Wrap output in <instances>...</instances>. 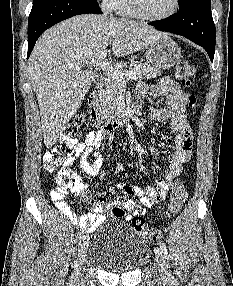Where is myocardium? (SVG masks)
Here are the masks:
<instances>
[{
    "label": "myocardium",
    "instance_id": "f54148a6",
    "mask_svg": "<svg viewBox=\"0 0 233 286\" xmlns=\"http://www.w3.org/2000/svg\"><path fill=\"white\" fill-rule=\"evenodd\" d=\"M128 1H129V4H130L132 10L136 14V16H138L144 20L151 21V22H159V21L167 20V19L173 17L178 12V10L180 8V1L174 0V7L169 13H167L163 16H151V15H148L147 13H145V11L143 10V8L141 6L140 0H128Z\"/></svg>",
    "mask_w": 233,
    "mask_h": 286
}]
</instances>
